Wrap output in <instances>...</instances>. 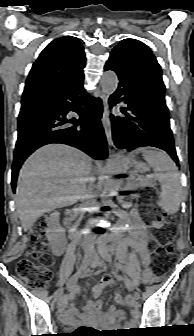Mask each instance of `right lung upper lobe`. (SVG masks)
I'll return each instance as SVG.
<instances>
[{"label": "right lung upper lobe", "instance_id": "right-lung-upper-lobe-1", "mask_svg": "<svg viewBox=\"0 0 194 336\" xmlns=\"http://www.w3.org/2000/svg\"><path fill=\"white\" fill-rule=\"evenodd\" d=\"M85 62L84 50L77 38L64 36L52 41L33 64L21 102L63 89L84 75Z\"/></svg>", "mask_w": 194, "mask_h": 336}]
</instances>
